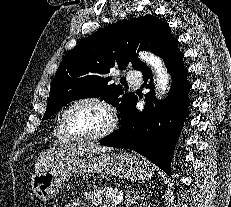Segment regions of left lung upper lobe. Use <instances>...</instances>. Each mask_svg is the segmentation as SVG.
<instances>
[{
  "label": "left lung upper lobe",
  "mask_w": 231,
  "mask_h": 207,
  "mask_svg": "<svg viewBox=\"0 0 231 207\" xmlns=\"http://www.w3.org/2000/svg\"><path fill=\"white\" fill-rule=\"evenodd\" d=\"M175 40L169 26L155 16L122 20L82 40L61 61L43 120L69 102L88 97L102 98L117 107L122 117L136 96L123 95L121 85L109 84L110 69H125L131 63L142 71L146 65L135 55L138 47L161 56Z\"/></svg>",
  "instance_id": "left-lung-upper-lobe-1"
}]
</instances>
